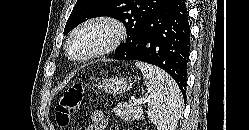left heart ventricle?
Segmentation results:
<instances>
[{
  "label": "left heart ventricle",
  "instance_id": "b2bd125f",
  "mask_svg": "<svg viewBox=\"0 0 249 130\" xmlns=\"http://www.w3.org/2000/svg\"><path fill=\"white\" fill-rule=\"evenodd\" d=\"M110 37L111 32L108 28L102 26L91 27L72 40L69 51L73 56H83L102 46Z\"/></svg>",
  "mask_w": 249,
  "mask_h": 130
}]
</instances>
